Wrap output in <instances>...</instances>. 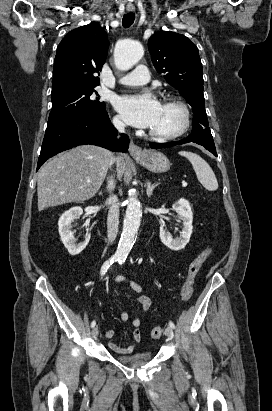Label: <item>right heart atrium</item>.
Segmentation results:
<instances>
[{
    "instance_id": "d8ad5b80",
    "label": "right heart atrium",
    "mask_w": 272,
    "mask_h": 411,
    "mask_svg": "<svg viewBox=\"0 0 272 411\" xmlns=\"http://www.w3.org/2000/svg\"><path fill=\"white\" fill-rule=\"evenodd\" d=\"M114 123H115V125L118 126V127H122V126H123V122L121 121V119H120L119 117H116V118L114 119Z\"/></svg>"
}]
</instances>
